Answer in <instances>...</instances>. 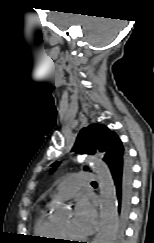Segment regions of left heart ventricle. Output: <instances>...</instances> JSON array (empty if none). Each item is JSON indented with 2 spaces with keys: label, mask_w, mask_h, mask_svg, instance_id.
<instances>
[{
  "label": "left heart ventricle",
  "mask_w": 154,
  "mask_h": 243,
  "mask_svg": "<svg viewBox=\"0 0 154 243\" xmlns=\"http://www.w3.org/2000/svg\"><path fill=\"white\" fill-rule=\"evenodd\" d=\"M71 218L66 219L65 221L58 224V227L65 231L66 233L70 234L71 236L77 237V235L71 228Z\"/></svg>",
  "instance_id": "left-heart-ventricle-1"
}]
</instances>
